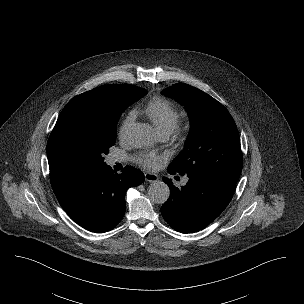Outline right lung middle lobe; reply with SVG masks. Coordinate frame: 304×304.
<instances>
[{
  "label": "right lung middle lobe",
  "mask_w": 304,
  "mask_h": 304,
  "mask_svg": "<svg viewBox=\"0 0 304 304\" xmlns=\"http://www.w3.org/2000/svg\"><path fill=\"white\" fill-rule=\"evenodd\" d=\"M147 91L129 85L121 100L80 105L61 120L58 140L70 153L93 169L105 165L104 155L116 141V125L121 113Z\"/></svg>",
  "instance_id": "right-lung-middle-lobe-1"
}]
</instances>
